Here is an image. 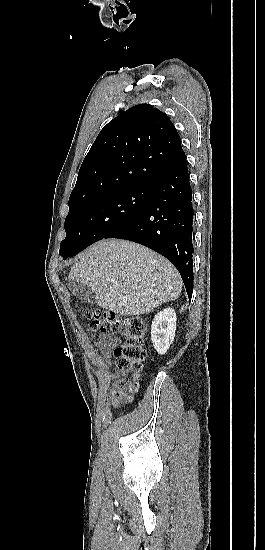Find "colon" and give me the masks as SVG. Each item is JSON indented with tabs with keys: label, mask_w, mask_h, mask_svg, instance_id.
<instances>
[{
	"label": "colon",
	"mask_w": 265,
	"mask_h": 550,
	"mask_svg": "<svg viewBox=\"0 0 265 550\" xmlns=\"http://www.w3.org/2000/svg\"><path fill=\"white\" fill-rule=\"evenodd\" d=\"M83 316L88 328L93 332L120 335L124 342L114 349L116 366L122 372L137 373L141 370L146 358L145 334L147 322L138 316H120L113 312L96 308H86ZM136 391V385L125 379L117 381L113 393V403L116 407L130 400Z\"/></svg>",
	"instance_id": "5ec220e1"
}]
</instances>
